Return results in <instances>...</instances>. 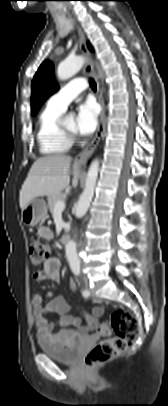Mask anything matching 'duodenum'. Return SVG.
<instances>
[{
	"instance_id": "obj_1",
	"label": "duodenum",
	"mask_w": 168,
	"mask_h": 406,
	"mask_svg": "<svg viewBox=\"0 0 168 406\" xmlns=\"http://www.w3.org/2000/svg\"><path fill=\"white\" fill-rule=\"evenodd\" d=\"M70 239V235L68 232H64L61 236L60 242L62 245H67Z\"/></svg>"
}]
</instances>
